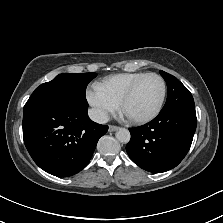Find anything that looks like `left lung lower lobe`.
<instances>
[{
	"label": "left lung lower lobe",
	"instance_id": "left-lung-lower-lobe-1",
	"mask_svg": "<svg viewBox=\"0 0 223 223\" xmlns=\"http://www.w3.org/2000/svg\"><path fill=\"white\" fill-rule=\"evenodd\" d=\"M195 109L160 112L151 122L129 128V157L142 169L161 173L176 167L186 156L196 130Z\"/></svg>",
	"mask_w": 223,
	"mask_h": 223
}]
</instances>
